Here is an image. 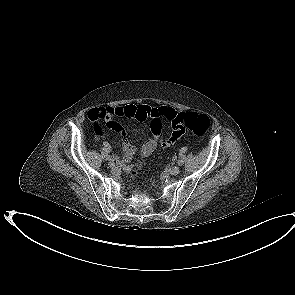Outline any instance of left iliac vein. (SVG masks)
<instances>
[{
  "instance_id": "obj_1",
  "label": "left iliac vein",
  "mask_w": 295,
  "mask_h": 295,
  "mask_svg": "<svg viewBox=\"0 0 295 295\" xmlns=\"http://www.w3.org/2000/svg\"><path fill=\"white\" fill-rule=\"evenodd\" d=\"M179 172H180V169H179L178 166H174V167H172V168L170 169V174H171V175H177V174H179Z\"/></svg>"
}]
</instances>
